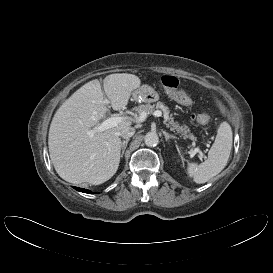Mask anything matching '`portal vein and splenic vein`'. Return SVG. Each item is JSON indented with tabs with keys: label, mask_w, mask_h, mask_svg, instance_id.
<instances>
[{
	"label": "portal vein and splenic vein",
	"mask_w": 273,
	"mask_h": 273,
	"mask_svg": "<svg viewBox=\"0 0 273 273\" xmlns=\"http://www.w3.org/2000/svg\"><path fill=\"white\" fill-rule=\"evenodd\" d=\"M104 103H109V101L105 100ZM153 115L155 117H160L162 115V112L157 110L153 112ZM145 119H146V113H141L139 118L136 120V122H143ZM122 120H123V117H120V116L110 117L106 119L105 121H103L102 123H100L98 126H96L93 130H91V133L94 134L96 132L105 131L111 127L117 126L118 123H120ZM197 152H198V149H195L194 151L191 152V156H194ZM200 158H204V155L202 152H200Z\"/></svg>",
	"instance_id": "portal-vein-and-splenic-vein-1"
}]
</instances>
